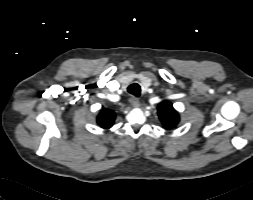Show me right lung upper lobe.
I'll return each instance as SVG.
<instances>
[{"instance_id":"cb5924a9","label":"right lung upper lobe","mask_w":253,"mask_h":200,"mask_svg":"<svg viewBox=\"0 0 253 200\" xmlns=\"http://www.w3.org/2000/svg\"><path fill=\"white\" fill-rule=\"evenodd\" d=\"M115 113L108 109H102L97 117V123L105 129L112 127L115 120Z\"/></svg>"}]
</instances>
